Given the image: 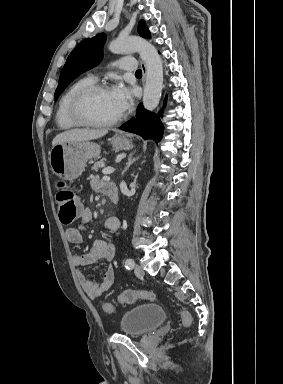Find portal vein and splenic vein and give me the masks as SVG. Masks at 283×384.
I'll return each instance as SVG.
<instances>
[{
  "instance_id": "obj_1",
  "label": "portal vein and splenic vein",
  "mask_w": 283,
  "mask_h": 384,
  "mask_svg": "<svg viewBox=\"0 0 283 384\" xmlns=\"http://www.w3.org/2000/svg\"><path fill=\"white\" fill-rule=\"evenodd\" d=\"M113 172V168H104V170H102V174H104V176H107V174H113Z\"/></svg>"
}]
</instances>
